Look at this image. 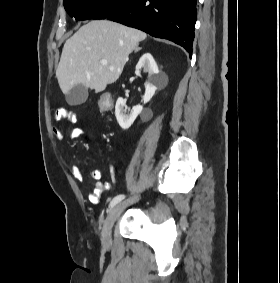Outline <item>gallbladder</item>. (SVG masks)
Returning <instances> with one entry per match:
<instances>
[{
  "label": "gallbladder",
  "instance_id": "obj_1",
  "mask_svg": "<svg viewBox=\"0 0 280 283\" xmlns=\"http://www.w3.org/2000/svg\"><path fill=\"white\" fill-rule=\"evenodd\" d=\"M88 98V88L77 84L72 87L68 94H66V100L69 105L83 104Z\"/></svg>",
  "mask_w": 280,
  "mask_h": 283
}]
</instances>
